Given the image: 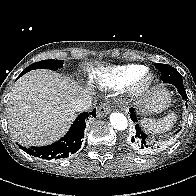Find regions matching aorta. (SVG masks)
<instances>
[{"label":"aorta","instance_id":"aorta-1","mask_svg":"<svg viewBox=\"0 0 196 196\" xmlns=\"http://www.w3.org/2000/svg\"><path fill=\"white\" fill-rule=\"evenodd\" d=\"M110 123L116 130L119 131L125 130L128 126L126 116L117 112L110 114Z\"/></svg>","mask_w":196,"mask_h":196}]
</instances>
